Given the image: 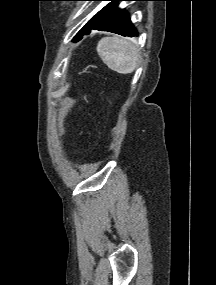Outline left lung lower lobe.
<instances>
[{"label": "left lung lower lobe", "instance_id": "obj_1", "mask_svg": "<svg viewBox=\"0 0 216 285\" xmlns=\"http://www.w3.org/2000/svg\"><path fill=\"white\" fill-rule=\"evenodd\" d=\"M119 1L129 0H118L113 6L98 17L91 26L78 32L73 41H79L82 39L83 35L90 34L91 30L109 31L128 37L137 36V30L131 23L128 13L117 7Z\"/></svg>", "mask_w": 216, "mask_h": 285}]
</instances>
